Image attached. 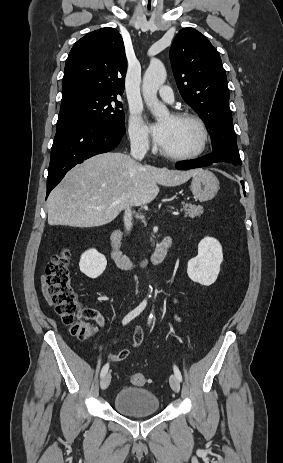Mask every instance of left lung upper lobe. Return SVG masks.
I'll use <instances>...</instances> for the list:
<instances>
[{
	"label": "left lung upper lobe",
	"instance_id": "obj_1",
	"mask_svg": "<svg viewBox=\"0 0 283 463\" xmlns=\"http://www.w3.org/2000/svg\"><path fill=\"white\" fill-rule=\"evenodd\" d=\"M170 61L181 96L205 121L213 152L241 163L226 73L217 50L200 32L187 27L176 35Z\"/></svg>",
	"mask_w": 283,
	"mask_h": 463
}]
</instances>
